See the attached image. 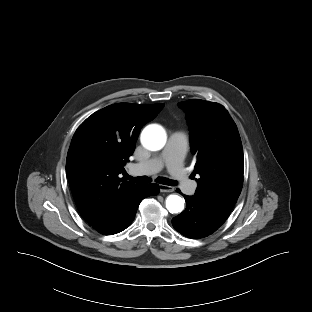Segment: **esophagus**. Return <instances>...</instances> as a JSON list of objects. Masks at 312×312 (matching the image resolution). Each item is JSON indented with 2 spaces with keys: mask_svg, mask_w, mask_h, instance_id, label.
Segmentation results:
<instances>
[{
  "mask_svg": "<svg viewBox=\"0 0 312 312\" xmlns=\"http://www.w3.org/2000/svg\"><path fill=\"white\" fill-rule=\"evenodd\" d=\"M159 190H160V192H173L174 188L172 186H167V185L160 184L159 185Z\"/></svg>",
  "mask_w": 312,
  "mask_h": 312,
  "instance_id": "34e87169",
  "label": "esophagus"
}]
</instances>
